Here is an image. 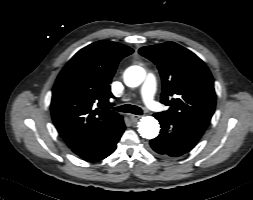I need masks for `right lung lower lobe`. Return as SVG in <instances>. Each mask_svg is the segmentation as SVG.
<instances>
[{
  "instance_id": "right-lung-lower-lobe-1",
  "label": "right lung lower lobe",
  "mask_w": 253,
  "mask_h": 200,
  "mask_svg": "<svg viewBox=\"0 0 253 200\" xmlns=\"http://www.w3.org/2000/svg\"><path fill=\"white\" fill-rule=\"evenodd\" d=\"M124 130L125 125L122 119L119 124L102 136L72 148V151L86 161L102 160L114 152Z\"/></svg>"
}]
</instances>
